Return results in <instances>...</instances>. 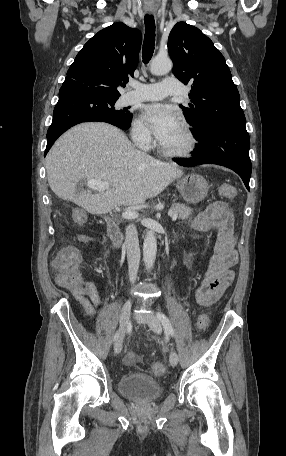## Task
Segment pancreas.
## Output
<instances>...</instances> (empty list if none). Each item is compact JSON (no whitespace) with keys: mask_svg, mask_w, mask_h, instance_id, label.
I'll use <instances>...</instances> for the list:
<instances>
[{"mask_svg":"<svg viewBox=\"0 0 286 456\" xmlns=\"http://www.w3.org/2000/svg\"><path fill=\"white\" fill-rule=\"evenodd\" d=\"M173 213L177 214L178 219L186 220L192 215V210L185 204L177 203L172 207Z\"/></svg>","mask_w":286,"mask_h":456,"instance_id":"cf45deb5","label":"pancreas"}]
</instances>
